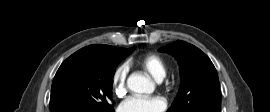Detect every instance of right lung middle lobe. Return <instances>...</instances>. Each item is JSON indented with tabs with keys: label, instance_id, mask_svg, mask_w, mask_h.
<instances>
[{
	"label": "right lung middle lobe",
	"instance_id": "right-lung-middle-lobe-1",
	"mask_svg": "<svg viewBox=\"0 0 270 112\" xmlns=\"http://www.w3.org/2000/svg\"><path fill=\"white\" fill-rule=\"evenodd\" d=\"M134 50L135 47H111L98 57H68L53 79L50 112L64 109L114 112L110 99L115 69Z\"/></svg>",
	"mask_w": 270,
	"mask_h": 112
}]
</instances>
